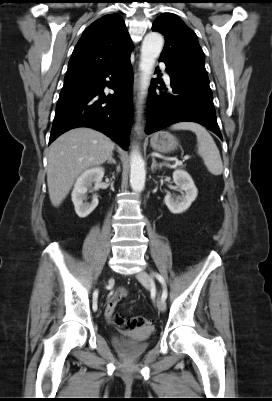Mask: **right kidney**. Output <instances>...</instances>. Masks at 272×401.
Returning a JSON list of instances; mask_svg holds the SVG:
<instances>
[{"mask_svg":"<svg viewBox=\"0 0 272 401\" xmlns=\"http://www.w3.org/2000/svg\"><path fill=\"white\" fill-rule=\"evenodd\" d=\"M103 176L104 169L95 167L83 172L76 180L71 196L75 212L80 218L87 217L97 207L99 201L96 195L93 196L91 203L83 201L86 200V193L93 184V190L99 189Z\"/></svg>","mask_w":272,"mask_h":401,"instance_id":"right-kidney-1","label":"right kidney"}]
</instances>
